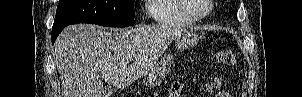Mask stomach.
Masks as SVG:
<instances>
[{
	"label": "stomach",
	"instance_id": "obj_1",
	"mask_svg": "<svg viewBox=\"0 0 302 97\" xmlns=\"http://www.w3.org/2000/svg\"><path fill=\"white\" fill-rule=\"evenodd\" d=\"M198 35L192 31H183L176 36V44L179 50H184L198 43ZM173 62L171 55L164 56L160 62L154 65L143 75L141 82L147 87H156L162 83L170 71Z\"/></svg>",
	"mask_w": 302,
	"mask_h": 97
}]
</instances>
